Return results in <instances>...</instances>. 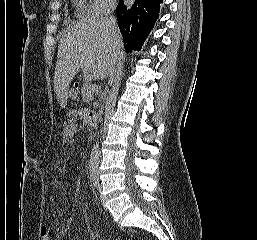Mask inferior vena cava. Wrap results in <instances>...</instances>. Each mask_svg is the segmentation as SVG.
I'll return each mask as SVG.
<instances>
[{"instance_id": "602c4592", "label": "inferior vena cava", "mask_w": 257, "mask_h": 240, "mask_svg": "<svg viewBox=\"0 0 257 240\" xmlns=\"http://www.w3.org/2000/svg\"><path fill=\"white\" fill-rule=\"evenodd\" d=\"M113 10H114V7H111L110 12H113ZM106 30L110 38L112 39L114 45L117 47L120 44V34L117 27V21L111 15L109 16V18L106 19ZM119 58H120V55L117 54L115 58V65L112 72L110 73V80L108 82L110 86L113 84V81H114V73H116V66L118 65Z\"/></svg>"}]
</instances>
